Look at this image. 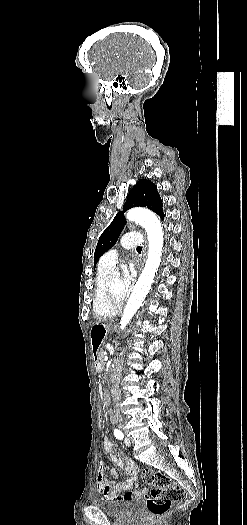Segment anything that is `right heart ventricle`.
I'll list each match as a JSON object with an SVG mask.
<instances>
[{
  "label": "right heart ventricle",
  "instance_id": "right-heart-ventricle-1",
  "mask_svg": "<svg viewBox=\"0 0 247 525\" xmlns=\"http://www.w3.org/2000/svg\"><path fill=\"white\" fill-rule=\"evenodd\" d=\"M105 254L101 257L96 277L95 290L93 293V314L94 317H115L117 308L109 307L106 304V296L103 286L107 278L111 279L113 274V265L105 264Z\"/></svg>",
  "mask_w": 247,
  "mask_h": 525
}]
</instances>
